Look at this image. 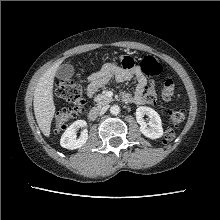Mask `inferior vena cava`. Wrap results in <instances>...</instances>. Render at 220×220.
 I'll return each instance as SVG.
<instances>
[{
    "label": "inferior vena cava",
    "mask_w": 220,
    "mask_h": 220,
    "mask_svg": "<svg viewBox=\"0 0 220 220\" xmlns=\"http://www.w3.org/2000/svg\"><path fill=\"white\" fill-rule=\"evenodd\" d=\"M106 110H107L106 107H103V108H93V109L91 110V112H92L93 114H96V115H103Z\"/></svg>",
    "instance_id": "inferior-vena-cava-1"
}]
</instances>
